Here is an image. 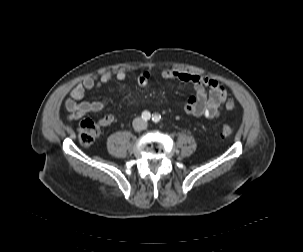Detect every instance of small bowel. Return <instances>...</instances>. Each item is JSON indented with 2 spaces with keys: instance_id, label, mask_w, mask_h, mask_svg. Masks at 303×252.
<instances>
[{
  "instance_id": "c3829d8e",
  "label": "small bowel",
  "mask_w": 303,
  "mask_h": 252,
  "mask_svg": "<svg viewBox=\"0 0 303 252\" xmlns=\"http://www.w3.org/2000/svg\"><path fill=\"white\" fill-rule=\"evenodd\" d=\"M127 73L120 70L117 73L105 72L100 76H89L81 83L75 85L69 92L64 106L69 112L70 120H78L88 114H98L105 108L101 101L88 102L83 100L86 93L98 89L101 85L111 82L113 79L121 82L126 79ZM165 80L176 81L182 84L192 85L194 93L188 98L184 112L192 117L217 118L223 109L232 110L235 106L233 98L226 88L216 79L203 77L171 68L161 71ZM151 78L150 70H142L137 76L139 86L146 88ZM114 120L113 115L106 114L99 119L102 126L110 125Z\"/></svg>"
}]
</instances>
